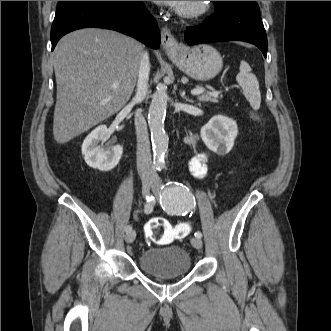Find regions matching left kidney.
I'll return each mask as SVG.
<instances>
[{
  "label": "left kidney",
  "mask_w": 331,
  "mask_h": 331,
  "mask_svg": "<svg viewBox=\"0 0 331 331\" xmlns=\"http://www.w3.org/2000/svg\"><path fill=\"white\" fill-rule=\"evenodd\" d=\"M237 123L225 116H214L201 128L205 145L219 155L229 153L237 137Z\"/></svg>",
  "instance_id": "5707ae66"
}]
</instances>
